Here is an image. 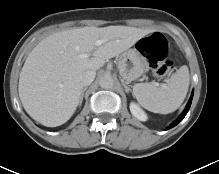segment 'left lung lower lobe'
I'll return each instance as SVG.
<instances>
[{
    "instance_id": "obj_1",
    "label": "left lung lower lobe",
    "mask_w": 219,
    "mask_h": 174,
    "mask_svg": "<svg viewBox=\"0 0 219 174\" xmlns=\"http://www.w3.org/2000/svg\"><path fill=\"white\" fill-rule=\"evenodd\" d=\"M192 98H193V93L190 97V100H189L185 110L183 111L182 115L180 116V118L177 121L173 122L167 129H170V128H173L174 126H176L186 116V114L191 106Z\"/></svg>"
}]
</instances>
